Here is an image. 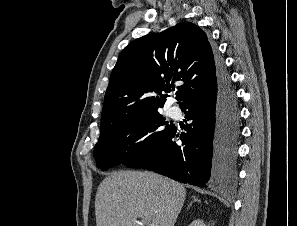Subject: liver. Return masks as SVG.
I'll use <instances>...</instances> for the list:
<instances>
[{"label":"liver","instance_id":"1","mask_svg":"<svg viewBox=\"0 0 297 226\" xmlns=\"http://www.w3.org/2000/svg\"><path fill=\"white\" fill-rule=\"evenodd\" d=\"M185 198L182 184L156 173L115 171L98 187L96 226H174Z\"/></svg>","mask_w":297,"mask_h":226}]
</instances>
